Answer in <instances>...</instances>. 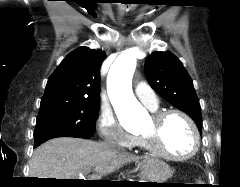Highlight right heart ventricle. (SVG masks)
Listing matches in <instances>:
<instances>
[{"label": "right heart ventricle", "mask_w": 240, "mask_h": 187, "mask_svg": "<svg viewBox=\"0 0 240 187\" xmlns=\"http://www.w3.org/2000/svg\"><path fill=\"white\" fill-rule=\"evenodd\" d=\"M138 144H141V141H140V140H138Z\"/></svg>", "instance_id": "e07e8e85"}]
</instances>
